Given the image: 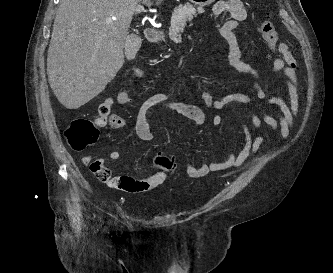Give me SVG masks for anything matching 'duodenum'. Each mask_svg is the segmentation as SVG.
<instances>
[{
  "instance_id": "obj_1",
  "label": "duodenum",
  "mask_w": 333,
  "mask_h": 273,
  "mask_svg": "<svg viewBox=\"0 0 333 273\" xmlns=\"http://www.w3.org/2000/svg\"><path fill=\"white\" fill-rule=\"evenodd\" d=\"M145 37L148 41L155 42L158 39V29L157 28H147L145 30Z\"/></svg>"
}]
</instances>
